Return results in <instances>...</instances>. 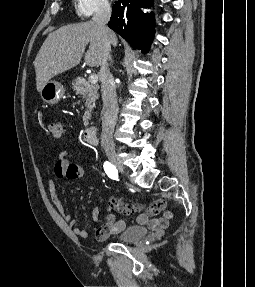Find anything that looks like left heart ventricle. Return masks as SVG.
I'll return each instance as SVG.
<instances>
[{
    "label": "left heart ventricle",
    "instance_id": "obj_1",
    "mask_svg": "<svg viewBox=\"0 0 255 287\" xmlns=\"http://www.w3.org/2000/svg\"><path fill=\"white\" fill-rule=\"evenodd\" d=\"M90 39H96V38H90ZM89 48H97V47H89Z\"/></svg>",
    "mask_w": 255,
    "mask_h": 287
}]
</instances>
